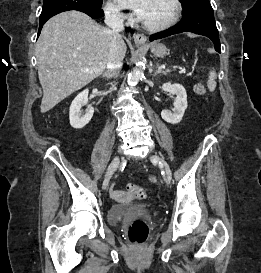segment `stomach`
I'll list each match as a JSON object with an SVG mask.
<instances>
[{
  "instance_id": "1",
  "label": "stomach",
  "mask_w": 261,
  "mask_h": 273,
  "mask_svg": "<svg viewBox=\"0 0 261 273\" xmlns=\"http://www.w3.org/2000/svg\"><path fill=\"white\" fill-rule=\"evenodd\" d=\"M151 52L157 57H164L167 54V48L160 43H154L151 45Z\"/></svg>"
}]
</instances>
